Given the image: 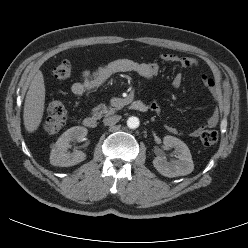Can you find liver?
Here are the masks:
<instances>
[{"instance_id": "liver-1", "label": "liver", "mask_w": 248, "mask_h": 248, "mask_svg": "<svg viewBox=\"0 0 248 248\" xmlns=\"http://www.w3.org/2000/svg\"><path fill=\"white\" fill-rule=\"evenodd\" d=\"M45 102V86L41 71L33 77L24 104V125L26 130L31 133L39 127Z\"/></svg>"}]
</instances>
